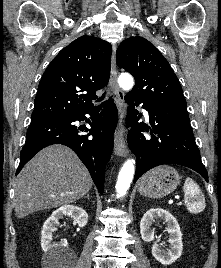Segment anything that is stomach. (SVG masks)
Wrapping results in <instances>:
<instances>
[{"label":"stomach","instance_id":"stomach-1","mask_svg":"<svg viewBox=\"0 0 221 268\" xmlns=\"http://www.w3.org/2000/svg\"><path fill=\"white\" fill-rule=\"evenodd\" d=\"M180 177L176 169L162 165L146 173L138 183V192L151 198H161L174 191Z\"/></svg>","mask_w":221,"mask_h":268}]
</instances>
